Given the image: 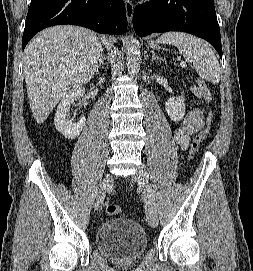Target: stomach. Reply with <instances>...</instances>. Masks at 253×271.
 <instances>
[{"mask_svg": "<svg viewBox=\"0 0 253 271\" xmlns=\"http://www.w3.org/2000/svg\"><path fill=\"white\" fill-rule=\"evenodd\" d=\"M150 45H151V47H155L156 46L154 43H151Z\"/></svg>", "mask_w": 253, "mask_h": 271, "instance_id": "stomach-1", "label": "stomach"}]
</instances>
